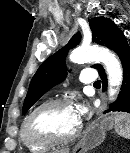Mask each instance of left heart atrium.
Instances as JSON below:
<instances>
[{
  "label": "left heart atrium",
  "instance_id": "1",
  "mask_svg": "<svg viewBox=\"0 0 130 153\" xmlns=\"http://www.w3.org/2000/svg\"><path fill=\"white\" fill-rule=\"evenodd\" d=\"M74 110L79 120L87 113V107L84 103L75 104Z\"/></svg>",
  "mask_w": 130,
  "mask_h": 153
}]
</instances>
